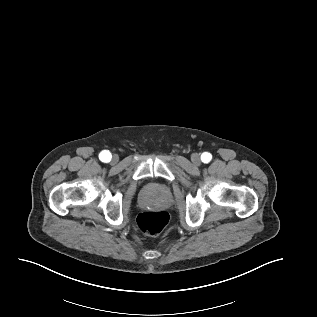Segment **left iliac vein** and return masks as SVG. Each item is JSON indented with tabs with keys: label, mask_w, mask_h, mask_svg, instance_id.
<instances>
[{
	"label": "left iliac vein",
	"mask_w": 317,
	"mask_h": 317,
	"mask_svg": "<svg viewBox=\"0 0 317 317\" xmlns=\"http://www.w3.org/2000/svg\"><path fill=\"white\" fill-rule=\"evenodd\" d=\"M191 160L197 166L200 165V163H201L200 156L197 153H194L191 155Z\"/></svg>",
	"instance_id": "1"
}]
</instances>
